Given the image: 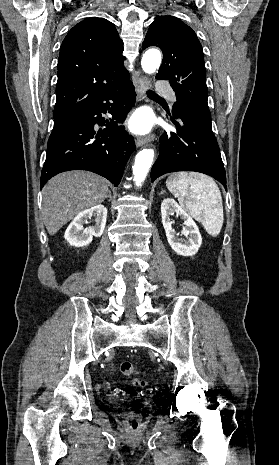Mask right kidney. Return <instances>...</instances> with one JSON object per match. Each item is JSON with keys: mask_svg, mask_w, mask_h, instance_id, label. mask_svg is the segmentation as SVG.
<instances>
[{"mask_svg": "<svg viewBox=\"0 0 279 465\" xmlns=\"http://www.w3.org/2000/svg\"><path fill=\"white\" fill-rule=\"evenodd\" d=\"M95 217L96 224L94 226L84 228L88 219ZM107 208L104 205H96L89 209L80 212L70 223L65 231L64 238L75 247H84L92 242L93 237H100L106 225Z\"/></svg>", "mask_w": 279, "mask_h": 465, "instance_id": "ca27d5eb", "label": "right kidney"}]
</instances>
